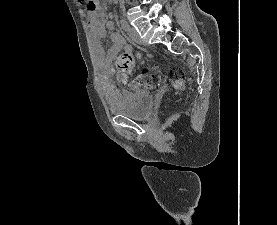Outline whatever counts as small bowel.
<instances>
[{
	"mask_svg": "<svg viewBox=\"0 0 277 225\" xmlns=\"http://www.w3.org/2000/svg\"><path fill=\"white\" fill-rule=\"evenodd\" d=\"M89 14L90 32L94 41L95 53L99 62L105 68L104 76L102 79V90L106 99L109 102H113L116 99V90L108 78V71L106 67L121 49H126L127 47L123 38L118 33L113 32L111 34V46L107 50L106 54H104L101 47V40L105 36V30L102 27L101 16H97L95 10H90ZM106 26L109 30L114 29V25L112 22H108ZM132 87L136 88L137 85L134 84L132 85Z\"/></svg>",
	"mask_w": 277,
	"mask_h": 225,
	"instance_id": "c3829d8e",
	"label": "small bowel"
}]
</instances>
